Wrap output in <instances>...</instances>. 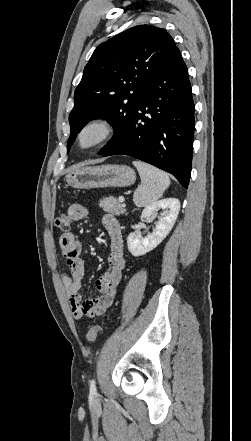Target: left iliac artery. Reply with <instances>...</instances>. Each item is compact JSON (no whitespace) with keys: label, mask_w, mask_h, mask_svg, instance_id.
<instances>
[{"label":"left iliac artery","mask_w":251,"mask_h":441,"mask_svg":"<svg viewBox=\"0 0 251 441\" xmlns=\"http://www.w3.org/2000/svg\"><path fill=\"white\" fill-rule=\"evenodd\" d=\"M90 393L96 394V383L94 379H92L90 382Z\"/></svg>","instance_id":"obj_1"}]
</instances>
